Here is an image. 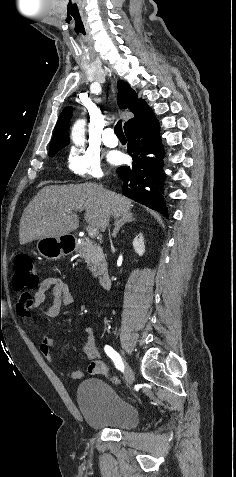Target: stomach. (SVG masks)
Masks as SVG:
<instances>
[{"mask_svg": "<svg viewBox=\"0 0 236 477\" xmlns=\"http://www.w3.org/2000/svg\"><path fill=\"white\" fill-rule=\"evenodd\" d=\"M36 247L40 255L51 260H56L71 251L66 249L62 236L39 239Z\"/></svg>", "mask_w": 236, "mask_h": 477, "instance_id": "stomach-1", "label": "stomach"}]
</instances>
